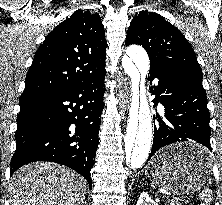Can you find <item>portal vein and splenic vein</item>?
<instances>
[{
	"label": "portal vein and splenic vein",
	"mask_w": 222,
	"mask_h": 205,
	"mask_svg": "<svg viewBox=\"0 0 222 205\" xmlns=\"http://www.w3.org/2000/svg\"><path fill=\"white\" fill-rule=\"evenodd\" d=\"M161 192L165 195H167L168 197H173L172 196V192L170 191H166V190H161ZM174 198V201L177 203V205H179V201H181L180 198H177V197H173Z\"/></svg>",
	"instance_id": "portal-vein-and-splenic-vein-1"
}]
</instances>
